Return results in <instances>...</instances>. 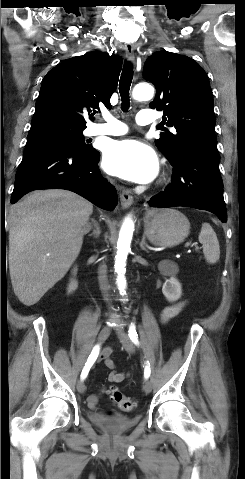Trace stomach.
Segmentation results:
<instances>
[{"label": "stomach", "instance_id": "obj_1", "mask_svg": "<svg viewBox=\"0 0 245 479\" xmlns=\"http://www.w3.org/2000/svg\"><path fill=\"white\" fill-rule=\"evenodd\" d=\"M144 234L156 246L173 247L182 243L190 232V222L181 212L160 209L146 216Z\"/></svg>", "mask_w": 245, "mask_h": 479}]
</instances>
